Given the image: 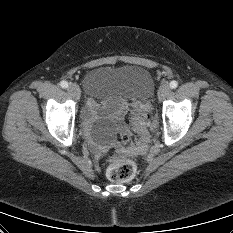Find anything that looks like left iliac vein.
Returning a JSON list of instances; mask_svg holds the SVG:
<instances>
[{"instance_id": "left-iliac-vein-1", "label": "left iliac vein", "mask_w": 233, "mask_h": 233, "mask_svg": "<svg viewBox=\"0 0 233 233\" xmlns=\"http://www.w3.org/2000/svg\"><path fill=\"white\" fill-rule=\"evenodd\" d=\"M170 93V87L167 84H163L160 86L158 90V98L159 100H163Z\"/></svg>"}]
</instances>
